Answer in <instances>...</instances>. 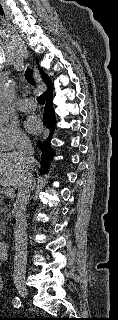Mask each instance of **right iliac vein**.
<instances>
[{"label":"right iliac vein","mask_w":118,"mask_h":320,"mask_svg":"<svg viewBox=\"0 0 118 320\" xmlns=\"http://www.w3.org/2000/svg\"><path fill=\"white\" fill-rule=\"evenodd\" d=\"M17 291L19 293L20 296L22 297H26L28 292H27V288L23 283H18L16 285Z\"/></svg>","instance_id":"1"}]
</instances>
